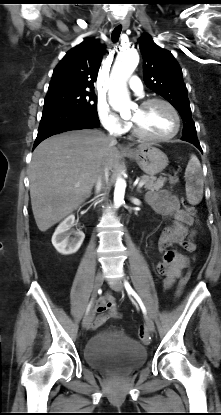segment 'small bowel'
I'll use <instances>...</instances> for the list:
<instances>
[{
  "label": "small bowel",
  "mask_w": 221,
  "mask_h": 415,
  "mask_svg": "<svg viewBox=\"0 0 221 415\" xmlns=\"http://www.w3.org/2000/svg\"><path fill=\"white\" fill-rule=\"evenodd\" d=\"M147 203L158 213L171 216L174 222L162 232L158 248L163 254L162 261L154 265L156 272L165 276L164 286H171L190 264V257L175 249L181 247L186 252L195 250V243L188 237L189 227L193 223L192 216L180 208L178 198L167 190L148 193ZM98 316L92 323L93 328L103 325L111 318L119 317L116 302L111 294H106L97 304Z\"/></svg>",
  "instance_id": "c3829d8e"
}]
</instances>
